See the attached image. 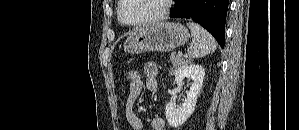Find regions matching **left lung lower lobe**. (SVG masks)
<instances>
[{"label": "left lung lower lobe", "instance_id": "left-lung-lower-lobe-1", "mask_svg": "<svg viewBox=\"0 0 299 130\" xmlns=\"http://www.w3.org/2000/svg\"><path fill=\"white\" fill-rule=\"evenodd\" d=\"M229 0H175L172 18H189L207 29L223 48Z\"/></svg>", "mask_w": 299, "mask_h": 130}]
</instances>
